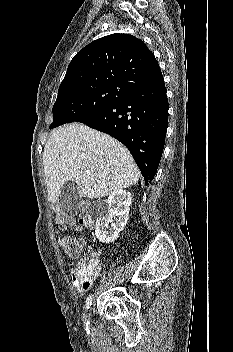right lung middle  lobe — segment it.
Masks as SVG:
<instances>
[{
  "label": "right lung middle lobe",
  "mask_w": 233,
  "mask_h": 352,
  "mask_svg": "<svg viewBox=\"0 0 233 352\" xmlns=\"http://www.w3.org/2000/svg\"><path fill=\"white\" fill-rule=\"evenodd\" d=\"M132 91L119 85L78 88L57 96L53 106L55 128L65 123L79 122L115 104Z\"/></svg>",
  "instance_id": "1"
}]
</instances>
